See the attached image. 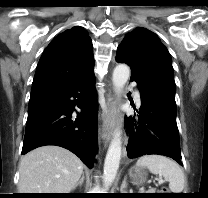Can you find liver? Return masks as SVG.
Returning <instances> with one entry per match:
<instances>
[{
    "mask_svg": "<svg viewBox=\"0 0 208 198\" xmlns=\"http://www.w3.org/2000/svg\"><path fill=\"white\" fill-rule=\"evenodd\" d=\"M20 193H70L83 173L82 161L67 149L46 145L22 157Z\"/></svg>",
    "mask_w": 208,
    "mask_h": 198,
    "instance_id": "1",
    "label": "liver"
}]
</instances>
